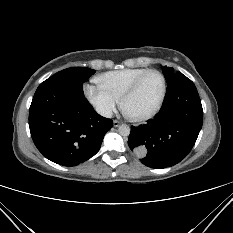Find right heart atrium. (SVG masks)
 <instances>
[{
  "instance_id": "right-heart-atrium-1",
  "label": "right heart atrium",
  "mask_w": 233,
  "mask_h": 233,
  "mask_svg": "<svg viewBox=\"0 0 233 233\" xmlns=\"http://www.w3.org/2000/svg\"><path fill=\"white\" fill-rule=\"evenodd\" d=\"M86 96L95 110L104 117H110L119 102V99L98 85H88Z\"/></svg>"
}]
</instances>
